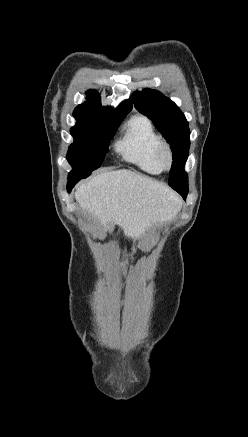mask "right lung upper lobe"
<instances>
[{
    "mask_svg": "<svg viewBox=\"0 0 248 437\" xmlns=\"http://www.w3.org/2000/svg\"><path fill=\"white\" fill-rule=\"evenodd\" d=\"M87 102L78 105L73 116L77 120L88 122H102L106 120H115L126 116L132 109L131 100L122 102L117 109L103 107L100 97L96 91L89 90L87 93Z\"/></svg>",
    "mask_w": 248,
    "mask_h": 437,
    "instance_id": "obj_1",
    "label": "right lung upper lobe"
}]
</instances>
